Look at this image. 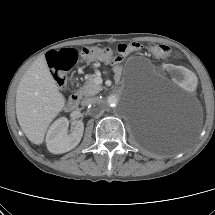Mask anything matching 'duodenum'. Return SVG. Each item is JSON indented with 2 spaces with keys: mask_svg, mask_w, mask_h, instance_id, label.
<instances>
[{
  "mask_svg": "<svg viewBox=\"0 0 215 215\" xmlns=\"http://www.w3.org/2000/svg\"><path fill=\"white\" fill-rule=\"evenodd\" d=\"M79 102H80V95L78 93L72 94L66 103V109L68 111L74 110L78 106Z\"/></svg>",
  "mask_w": 215,
  "mask_h": 215,
  "instance_id": "1",
  "label": "duodenum"
}]
</instances>
